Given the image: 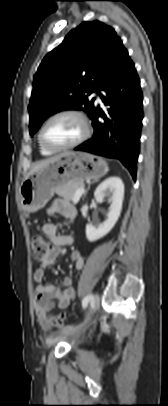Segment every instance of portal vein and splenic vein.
<instances>
[{
	"label": "portal vein and splenic vein",
	"mask_w": 168,
	"mask_h": 406,
	"mask_svg": "<svg viewBox=\"0 0 168 406\" xmlns=\"http://www.w3.org/2000/svg\"><path fill=\"white\" fill-rule=\"evenodd\" d=\"M83 193H84V189H83V188H80V189H78V190L76 191L75 196H74V199H73V203H74V204H76V203L79 201V199H80V197L82 196Z\"/></svg>",
	"instance_id": "portal-vein-and-splenic-vein-1"
}]
</instances>
